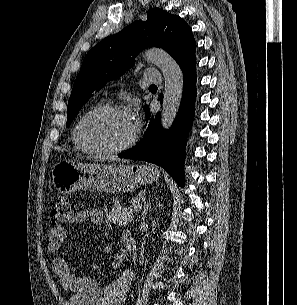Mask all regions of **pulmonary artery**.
Returning <instances> with one entry per match:
<instances>
[{"label":"pulmonary artery","mask_w":297,"mask_h":305,"mask_svg":"<svg viewBox=\"0 0 297 305\" xmlns=\"http://www.w3.org/2000/svg\"><path fill=\"white\" fill-rule=\"evenodd\" d=\"M143 81L147 83H160L161 79L156 70L148 69L143 73Z\"/></svg>","instance_id":"1"}]
</instances>
